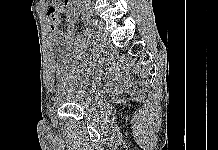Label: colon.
Masks as SVG:
<instances>
[{
	"label": "colon",
	"mask_w": 218,
	"mask_h": 150,
	"mask_svg": "<svg viewBox=\"0 0 218 150\" xmlns=\"http://www.w3.org/2000/svg\"><path fill=\"white\" fill-rule=\"evenodd\" d=\"M66 20L68 22H71L73 20V17L69 15V16L66 17ZM74 36H75V32H74L73 27H69L67 29V31L63 34L61 39L65 40V41H70V40H72L74 38Z\"/></svg>",
	"instance_id": "5ec220e1"
}]
</instances>
